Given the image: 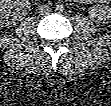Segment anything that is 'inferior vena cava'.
I'll return each mask as SVG.
<instances>
[{
  "mask_svg": "<svg viewBox=\"0 0 111 106\" xmlns=\"http://www.w3.org/2000/svg\"><path fill=\"white\" fill-rule=\"evenodd\" d=\"M51 11H52V8L49 5L45 4L40 7L39 13L43 15V14H48Z\"/></svg>",
  "mask_w": 111,
  "mask_h": 106,
  "instance_id": "602c4592",
  "label": "inferior vena cava"
}]
</instances>
